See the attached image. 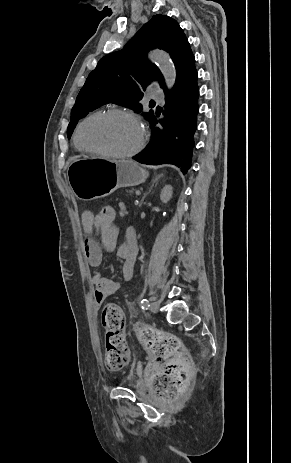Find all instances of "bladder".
<instances>
[{
	"label": "bladder",
	"mask_w": 291,
	"mask_h": 463,
	"mask_svg": "<svg viewBox=\"0 0 291 463\" xmlns=\"http://www.w3.org/2000/svg\"><path fill=\"white\" fill-rule=\"evenodd\" d=\"M122 385L126 387H138L141 385V382L134 378L133 375L127 376L122 380Z\"/></svg>",
	"instance_id": "obj_1"
}]
</instances>
